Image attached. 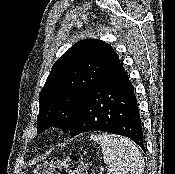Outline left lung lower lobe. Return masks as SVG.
<instances>
[{"instance_id":"obj_1","label":"left lung lower lobe","mask_w":175,"mask_h":174,"mask_svg":"<svg viewBox=\"0 0 175 174\" xmlns=\"http://www.w3.org/2000/svg\"><path fill=\"white\" fill-rule=\"evenodd\" d=\"M69 130L71 137L87 131L120 134L145 151L137 99L121 63L82 97Z\"/></svg>"}]
</instances>
